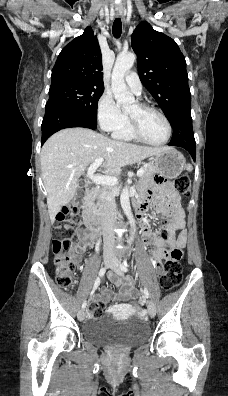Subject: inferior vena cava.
<instances>
[{
  "label": "inferior vena cava",
  "mask_w": 228,
  "mask_h": 396,
  "mask_svg": "<svg viewBox=\"0 0 228 396\" xmlns=\"http://www.w3.org/2000/svg\"><path fill=\"white\" fill-rule=\"evenodd\" d=\"M116 220V204L114 195L108 197L104 204L103 242L104 254H114L116 237L113 223Z\"/></svg>",
  "instance_id": "obj_1"
}]
</instances>
